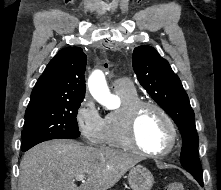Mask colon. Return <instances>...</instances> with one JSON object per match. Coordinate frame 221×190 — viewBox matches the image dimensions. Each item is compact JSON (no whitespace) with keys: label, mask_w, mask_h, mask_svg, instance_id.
Listing matches in <instances>:
<instances>
[{"label":"colon","mask_w":221,"mask_h":190,"mask_svg":"<svg viewBox=\"0 0 221 190\" xmlns=\"http://www.w3.org/2000/svg\"><path fill=\"white\" fill-rule=\"evenodd\" d=\"M165 190H185V188H184L182 183H180V182H173V183L168 184L165 187Z\"/></svg>","instance_id":"colon-1"}]
</instances>
